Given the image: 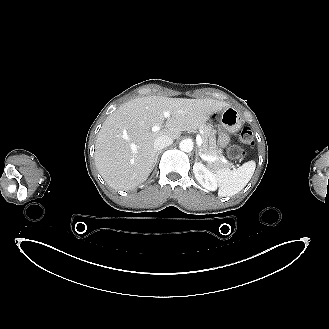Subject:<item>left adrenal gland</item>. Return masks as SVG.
<instances>
[{
    "mask_svg": "<svg viewBox=\"0 0 329 329\" xmlns=\"http://www.w3.org/2000/svg\"><path fill=\"white\" fill-rule=\"evenodd\" d=\"M198 159H199V153L196 151L195 161H197Z\"/></svg>",
    "mask_w": 329,
    "mask_h": 329,
    "instance_id": "1",
    "label": "left adrenal gland"
}]
</instances>
